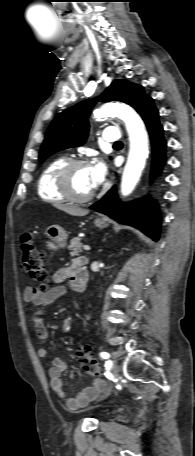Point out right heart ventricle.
<instances>
[{"mask_svg": "<svg viewBox=\"0 0 195 456\" xmlns=\"http://www.w3.org/2000/svg\"><path fill=\"white\" fill-rule=\"evenodd\" d=\"M66 161L64 157L56 158L50 161L41 171L37 181V191L42 199L51 202H61L65 199L58 191L55 179L58 169Z\"/></svg>", "mask_w": 195, "mask_h": 456, "instance_id": "e07e8e85", "label": "right heart ventricle"}]
</instances>
